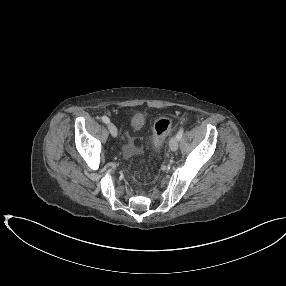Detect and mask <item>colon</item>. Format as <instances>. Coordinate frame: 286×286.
I'll return each instance as SVG.
<instances>
[{"instance_id":"5ec220e1","label":"colon","mask_w":286,"mask_h":286,"mask_svg":"<svg viewBox=\"0 0 286 286\" xmlns=\"http://www.w3.org/2000/svg\"><path fill=\"white\" fill-rule=\"evenodd\" d=\"M172 127V120L169 117L159 118L153 128V144L156 150H160L169 131ZM137 150V145L135 143L128 144L124 149V154L126 156H132Z\"/></svg>"}]
</instances>
